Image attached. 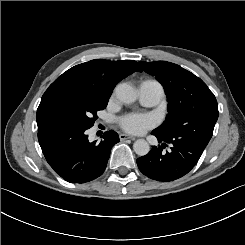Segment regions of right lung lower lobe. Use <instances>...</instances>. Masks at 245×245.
Returning a JSON list of instances; mask_svg holds the SVG:
<instances>
[{
  "instance_id": "1",
  "label": "right lung lower lobe",
  "mask_w": 245,
  "mask_h": 245,
  "mask_svg": "<svg viewBox=\"0 0 245 245\" xmlns=\"http://www.w3.org/2000/svg\"><path fill=\"white\" fill-rule=\"evenodd\" d=\"M86 130L77 127L38 130L39 144L47 162L70 183H86L101 176L111 148L119 142L118 134L110 130L104 133L100 143H91Z\"/></svg>"
}]
</instances>
